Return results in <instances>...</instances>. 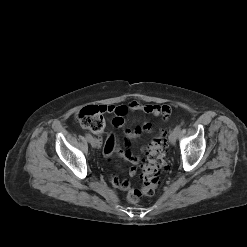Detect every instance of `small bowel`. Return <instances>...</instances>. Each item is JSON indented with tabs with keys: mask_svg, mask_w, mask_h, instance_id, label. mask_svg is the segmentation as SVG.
<instances>
[{
	"mask_svg": "<svg viewBox=\"0 0 247 247\" xmlns=\"http://www.w3.org/2000/svg\"><path fill=\"white\" fill-rule=\"evenodd\" d=\"M107 113L113 114L114 118L112 119V125L116 128H120L124 126L125 120L124 117L129 111L133 112H144L151 114L156 117H163L164 119H168L171 114V108L168 105H160V104H143L137 101H133L128 105L121 106H104ZM154 128L152 123L146 122L142 125L135 127L134 129H126L125 134L127 139H131L139 136L144 132H151ZM127 149L122 150L119 145L117 139L110 135L106 143L104 145L103 154L106 158L110 159L114 153H117L119 156L127 160L131 166L128 168L129 175H135L137 171V165L140 162V157L133 155L129 149V142L127 141ZM111 183L114 187L127 191L130 188V183L128 180L120 179L116 175L111 176Z\"/></svg>",
	"mask_w": 247,
	"mask_h": 247,
	"instance_id": "small-bowel-1",
	"label": "small bowel"
}]
</instances>
